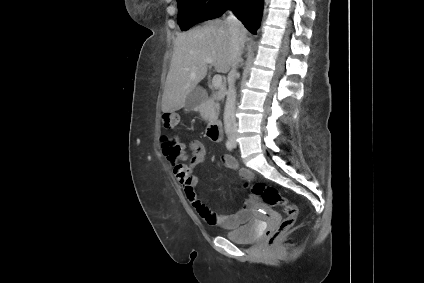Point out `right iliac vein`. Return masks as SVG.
Here are the masks:
<instances>
[{
    "instance_id": "obj_1",
    "label": "right iliac vein",
    "mask_w": 424,
    "mask_h": 283,
    "mask_svg": "<svg viewBox=\"0 0 424 283\" xmlns=\"http://www.w3.org/2000/svg\"><path fill=\"white\" fill-rule=\"evenodd\" d=\"M229 138L232 142H234L236 137H235V135H231Z\"/></svg>"
}]
</instances>
